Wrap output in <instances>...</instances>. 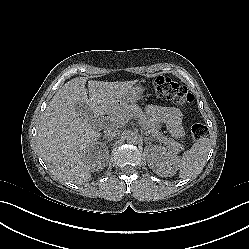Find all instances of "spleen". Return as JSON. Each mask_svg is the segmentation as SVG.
Here are the masks:
<instances>
[{"instance_id": "3e777b00", "label": "spleen", "mask_w": 249, "mask_h": 249, "mask_svg": "<svg viewBox=\"0 0 249 249\" xmlns=\"http://www.w3.org/2000/svg\"><path fill=\"white\" fill-rule=\"evenodd\" d=\"M210 149L209 140L201 139L193 144L190 150L186 151L182 156H176L174 153H168L165 161L169 165L179 166L182 170L194 172L200 170L205 163L207 153Z\"/></svg>"}]
</instances>
